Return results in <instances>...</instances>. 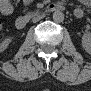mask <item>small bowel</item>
<instances>
[{"label": "small bowel", "instance_id": "small-bowel-1", "mask_svg": "<svg viewBox=\"0 0 91 91\" xmlns=\"http://www.w3.org/2000/svg\"><path fill=\"white\" fill-rule=\"evenodd\" d=\"M4 6L6 7V9L4 10V13H9L10 12L9 5L6 3V4H4Z\"/></svg>", "mask_w": 91, "mask_h": 91}]
</instances>
